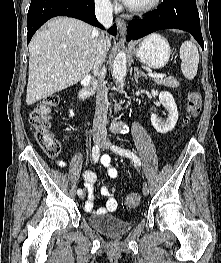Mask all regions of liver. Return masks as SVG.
Instances as JSON below:
<instances>
[{
  "instance_id": "1",
  "label": "liver",
  "mask_w": 221,
  "mask_h": 263,
  "mask_svg": "<svg viewBox=\"0 0 221 263\" xmlns=\"http://www.w3.org/2000/svg\"><path fill=\"white\" fill-rule=\"evenodd\" d=\"M98 33V29L74 18L48 21L29 44L26 103L32 105L87 76L94 66ZM105 45L108 51V36Z\"/></svg>"
}]
</instances>
